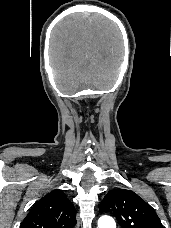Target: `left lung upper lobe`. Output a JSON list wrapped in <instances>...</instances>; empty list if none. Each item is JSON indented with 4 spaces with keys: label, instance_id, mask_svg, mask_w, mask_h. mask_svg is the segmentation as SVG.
<instances>
[{
    "label": "left lung upper lobe",
    "instance_id": "obj_1",
    "mask_svg": "<svg viewBox=\"0 0 171 228\" xmlns=\"http://www.w3.org/2000/svg\"><path fill=\"white\" fill-rule=\"evenodd\" d=\"M99 208L114 215L122 228H163L154 209L131 190L109 191Z\"/></svg>",
    "mask_w": 171,
    "mask_h": 228
}]
</instances>
